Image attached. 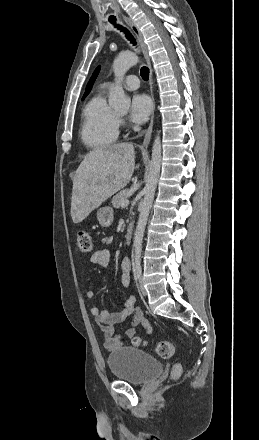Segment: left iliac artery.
Masks as SVG:
<instances>
[{
    "label": "left iliac artery",
    "mask_w": 259,
    "mask_h": 440,
    "mask_svg": "<svg viewBox=\"0 0 259 440\" xmlns=\"http://www.w3.org/2000/svg\"><path fill=\"white\" fill-rule=\"evenodd\" d=\"M135 274H136V278L139 280L141 278V274H142V268H141L140 264H136Z\"/></svg>",
    "instance_id": "1"
}]
</instances>
